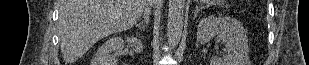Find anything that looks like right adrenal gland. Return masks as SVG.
<instances>
[{
	"instance_id": "2a0ac1e0",
	"label": "right adrenal gland",
	"mask_w": 309,
	"mask_h": 65,
	"mask_svg": "<svg viewBox=\"0 0 309 65\" xmlns=\"http://www.w3.org/2000/svg\"><path fill=\"white\" fill-rule=\"evenodd\" d=\"M147 23H148V22H146V23H144V24H143V23H140V24L137 25V27H138L141 31H143V30H145Z\"/></svg>"
}]
</instances>
